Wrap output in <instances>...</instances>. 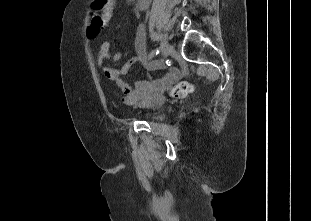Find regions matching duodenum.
<instances>
[{
    "mask_svg": "<svg viewBox=\"0 0 311 221\" xmlns=\"http://www.w3.org/2000/svg\"><path fill=\"white\" fill-rule=\"evenodd\" d=\"M150 2H151V0H136V7H137L138 10H142V9L145 8Z\"/></svg>",
    "mask_w": 311,
    "mask_h": 221,
    "instance_id": "410a0bca",
    "label": "duodenum"
}]
</instances>
